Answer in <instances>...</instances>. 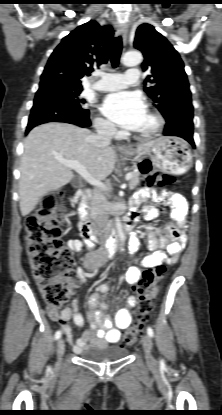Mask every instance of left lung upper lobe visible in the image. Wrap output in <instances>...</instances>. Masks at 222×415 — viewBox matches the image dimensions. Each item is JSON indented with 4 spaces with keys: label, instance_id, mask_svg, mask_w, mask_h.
<instances>
[{
    "label": "left lung upper lobe",
    "instance_id": "1",
    "mask_svg": "<svg viewBox=\"0 0 222 415\" xmlns=\"http://www.w3.org/2000/svg\"><path fill=\"white\" fill-rule=\"evenodd\" d=\"M134 47L144 55L143 71H149L144 91L154 101L166 121L179 119L192 105L184 63L169 41L150 24L137 28Z\"/></svg>",
    "mask_w": 222,
    "mask_h": 415
}]
</instances>
